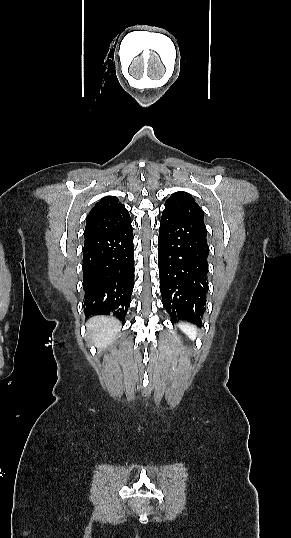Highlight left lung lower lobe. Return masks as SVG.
<instances>
[{
	"label": "left lung lower lobe",
	"mask_w": 291,
	"mask_h": 538,
	"mask_svg": "<svg viewBox=\"0 0 291 538\" xmlns=\"http://www.w3.org/2000/svg\"><path fill=\"white\" fill-rule=\"evenodd\" d=\"M203 222L162 213L158 266L162 303L174 319L201 325L208 292L209 246Z\"/></svg>",
	"instance_id": "1"
}]
</instances>
